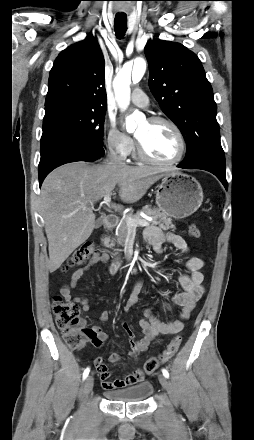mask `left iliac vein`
Returning a JSON list of instances; mask_svg holds the SVG:
<instances>
[{
    "instance_id": "4c4485c4",
    "label": "left iliac vein",
    "mask_w": 254,
    "mask_h": 440,
    "mask_svg": "<svg viewBox=\"0 0 254 440\" xmlns=\"http://www.w3.org/2000/svg\"><path fill=\"white\" fill-rule=\"evenodd\" d=\"M158 379H159V382L161 383V385L163 386V388L169 392L170 391V383L167 380V378L162 374H158Z\"/></svg>"
}]
</instances>
